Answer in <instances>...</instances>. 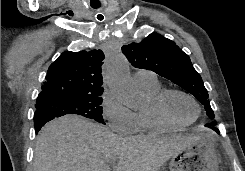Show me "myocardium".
<instances>
[{
  "mask_svg": "<svg viewBox=\"0 0 245 171\" xmlns=\"http://www.w3.org/2000/svg\"><path fill=\"white\" fill-rule=\"evenodd\" d=\"M174 94H179L182 95L186 98H188L196 107L197 110V114L196 117L188 122V123H180L175 121L169 114L168 109H167V103H168V99L170 98L171 95ZM153 109L154 112L156 114V116L158 117V119L163 122L164 124L172 127V128H186L189 126H192L193 124H195L198 119L201 116V107L200 104L198 103V101L189 93L180 90V89H176V88H170V89H164L162 90L157 97L155 98L154 102H153Z\"/></svg>",
  "mask_w": 245,
  "mask_h": 171,
  "instance_id": "1",
  "label": "myocardium"
}]
</instances>
